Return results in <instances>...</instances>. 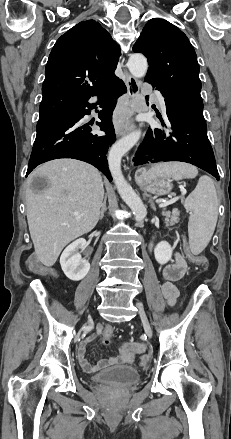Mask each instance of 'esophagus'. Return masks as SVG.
<instances>
[{
    "label": "esophagus",
    "mask_w": 231,
    "mask_h": 439,
    "mask_svg": "<svg viewBox=\"0 0 231 439\" xmlns=\"http://www.w3.org/2000/svg\"><path fill=\"white\" fill-rule=\"evenodd\" d=\"M124 73L126 76V86H127V92L128 96L131 100H135L139 98V83L132 75L128 73L127 70L124 69ZM134 111L128 110L126 118L121 122H116L115 127V133L117 137H121L130 131H132L135 128V124L131 121V117L133 116Z\"/></svg>",
    "instance_id": "34e87169"
}]
</instances>
